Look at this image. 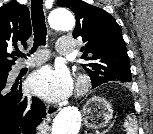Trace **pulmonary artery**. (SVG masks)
Returning a JSON list of instances; mask_svg holds the SVG:
<instances>
[{
	"instance_id": "obj_1",
	"label": "pulmonary artery",
	"mask_w": 153,
	"mask_h": 134,
	"mask_svg": "<svg viewBox=\"0 0 153 134\" xmlns=\"http://www.w3.org/2000/svg\"><path fill=\"white\" fill-rule=\"evenodd\" d=\"M57 52L62 55L71 54L74 51L75 44L72 38L70 37H61L57 42ZM47 59L46 52H39L33 55L27 62L19 63L15 67V71H19L24 67H32L36 65H40L45 62Z\"/></svg>"
}]
</instances>
